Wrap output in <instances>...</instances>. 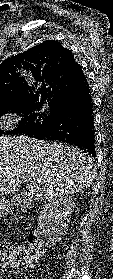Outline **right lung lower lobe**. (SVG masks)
<instances>
[{"label":"right lung lower lobe","instance_id":"obj_1","mask_svg":"<svg viewBox=\"0 0 113 279\" xmlns=\"http://www.w3.org/2000/svg\"><path fill=\"white\" fill-rule=\"evenodd\" d=\"M58 107L54 120L27 131L25 135L67 143L95 156L93 102L88 82L74 99Z\"/></svg>","mask_w":113,"mask_h":279}]
</instances>
